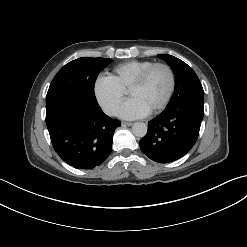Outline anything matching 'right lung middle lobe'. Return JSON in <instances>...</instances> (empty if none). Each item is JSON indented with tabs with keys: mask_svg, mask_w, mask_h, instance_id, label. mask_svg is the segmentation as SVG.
I'll list each match as a JSON object with an SVG mask.
<instances>
[{
	"mask_svg": "<svg viewBox=\"0 0 247 247\" xmlns=\"http://www.w3.org/2000/svg\"><path fill=\"white\" fill-rule=\"evenodd\" d=\"M111 62V59L82 57L67 63L53 78L47 92L46 104L65 96L81 97L96 103V78Z\"/></svg>",
	"mask_w": 247,
	"mask_h": 247,
	"instance_id": "dd1d6c3e",
	"label": "right lung middle lobe"
}]
</instances>
